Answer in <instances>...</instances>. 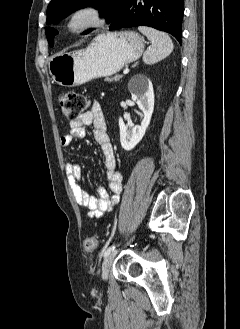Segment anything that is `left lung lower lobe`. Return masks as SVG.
<instances>
[{"label": "left lung lower lobe", "mask_w": 240, "mask_h": 329, "mask_svg": "<svg viewBox=\"0 0 240 329\" xmlns=\"http://www.w3.org/2000/svg\"><path fill=\"white\" fill-rule=\"evenodd\" d=\"M183 15V0H126L109 29L149 26L172 34L181 43Z\"/></svg>", "instance_id": "0a47b994"}]
</instances>
